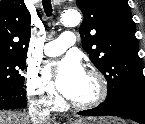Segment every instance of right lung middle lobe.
Listing matches in <instances>:
<instances>
[{
    "label": "right lung middle lobe",
    "mask_w": 145,
    "mask_h": 124,
    "mask_svg": "<svg viewBox=\"0 0 145 124\" xmlns=\"http://www.w3.org/2000/svg\"><path fill=\"white\" fill-rule=\"evenodd\" d=\"M26 57L0 53V86L23 87Z\"/></svg>",
    "instance_id": "1"
}]
</instances>
